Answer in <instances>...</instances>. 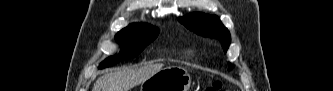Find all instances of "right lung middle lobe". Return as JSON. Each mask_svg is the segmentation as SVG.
<instances>
[{"label":"right lung middle lobe","instance_id":"obj_1","mask_svg":"<svg viewBox=\"0 0 333 91\" xmlns=\"http://www.w3.org/2000/svg\"><path fill=\"white\" fill-rule=\"evenodd\" d=\"M158 35L157 29L143 23H134L116 34V41L121 44L118 55L104 60L100 68L109 67L123 59L136 57Z\"/></svg>","mask_w":333,"mask_h":91}]
</instances>
